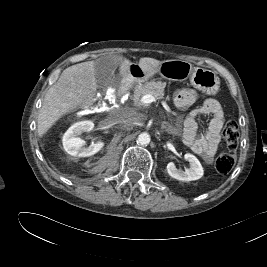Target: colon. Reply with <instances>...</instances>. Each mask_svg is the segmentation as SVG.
Segmentation results:
<instances>
[{
	"mask_svg": "<svg viewBox=\"0 0 267 267\" xmlns=\"http://www.w3.org/2000/svg\"><path fill=\"white\" fill-rule=\"evenodd\" d=\"M223 138L228 148V152L220 154L216 161L215 167L221 174L229 173L235 165V152L239 141V127L233 120H229L223 129Z\"/></svg>",
	"mask_w": 267,
	"mask_h": 267,
	"instance_id": "1",
	"label": "colon"
}]
</instances>
